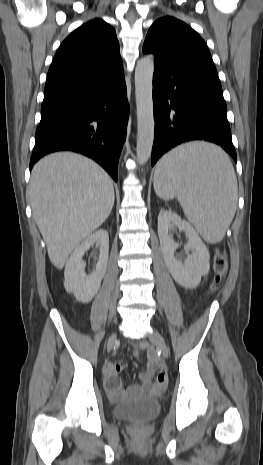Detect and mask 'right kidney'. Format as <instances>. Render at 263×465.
Returning <instances> with one entry per match:
<instances>
[{"mask_svg": "<svg viewBox=\"0 0 263 465\" xmlns=\"http://www.w3.org/2000/svg\"><path fill=\"white\" fill-rule=\"evenodd\" d=\"M94 244L100 247L99 259L93 273L86 275L83 256ZM109 254L108 233L100 229L88 236L70 255L64 271V287L73 293L75 298L83 303L90 302L97 294L102 278L107 269Z\"/></svg>", "mask_w": 263, "mask_h": 465, "instance_id": "1", "label": "right kidney"}]
</instances>
